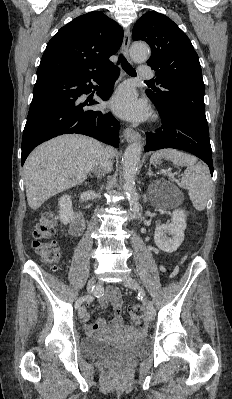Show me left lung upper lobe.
<instances>
[{"instance_id":"5c2ea615","label":"left lung upper lobe","mask_w":232,"mask_h":399,"mask_svg":"<svg viewBox=\"0 0 232 399\" xmlns=\"http://www.w3.org/2000/svg\"><path fill=\"white\" fill-rule=\"evenodd\" d=\"M132 39L151 47L147 64L156 71L155 81L161 89L146 93L158 110L181 115L208 131L201 66L189 38L167 16L152 11L136 22Z\"/></svg>"}]
</instances>
